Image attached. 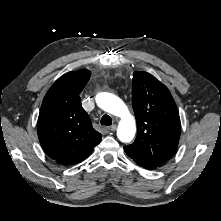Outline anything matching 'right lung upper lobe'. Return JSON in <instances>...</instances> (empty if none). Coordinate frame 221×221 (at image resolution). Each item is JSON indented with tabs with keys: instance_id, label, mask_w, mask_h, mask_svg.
Here are the masks:
<instances>
[{
	"instance_id": "1",
	"label": "right lung upper lobe",
	"mask_w": 221,
	"mask_h": 221,
	"mask_svg": "<svg viewBox=\"0 0 221 221\" xmlns=\"http://www.w3.org/2000/svg\"><path fill=\"white\" fill-rule=\"evenodd\" d=\"M90 76L87 69L64 74L51 86L41 106L37 123L40 144L62 165L80 163L102 139L79 96Z\"/></svg>"
}]
</instances>
